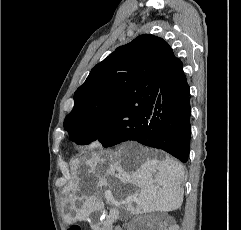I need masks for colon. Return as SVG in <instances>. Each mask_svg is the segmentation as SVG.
<instances>
[{
    "label": "colon",
    "instance_id": "obj_1",
    "mask_svg": "<svg viewBox=\"0 0 241 230\" xmlns=\"http://www.w3.org/2000/svg\"><path fill=\"white\" fill-rule=\"evenodd\" d=\"M68 230H80V228L77 226H73V227L69 228Z\"/></svg>",
    "mask_w": 241,
    "mask_h": 230
}]
</instances>
